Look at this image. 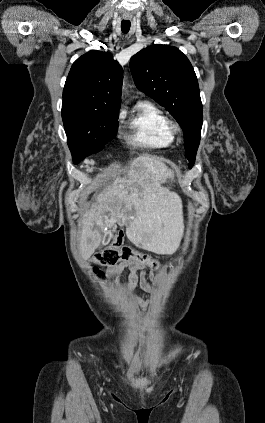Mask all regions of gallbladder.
<instances>
[{"instance_id":"gallbladder-1","label":"gallbladder","mask_w":265,"mask_h":423,"mask_svg":"<svg viewBox=\"0 0 265 423\" xmlns=\"http://www.w3.org/2000/svg\"><path fill=\"white\" fill-rule=\"evenodd\" d=\"M112 236V232H107L103 240V245H107L110 242Z\"/></svg>"}]
</instances>
